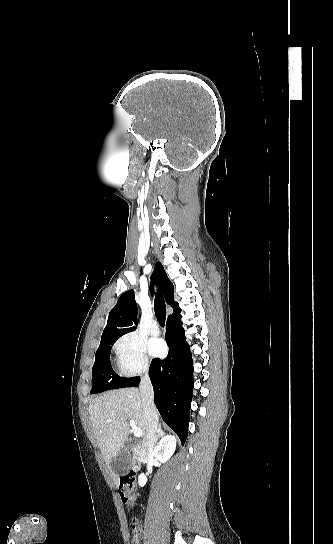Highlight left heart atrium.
<instances>
[{"label": "left heart atrium", "mask_w": 333, "mask_h": 544, "mask_svg": "<svg viewBox=\"0 0 333 544\" xmlns=\"http://www.w3.org/2000/svg\"><path fill=\"white\" fill-rule=\"evenodd\" d=\"M148 349L152 356H162L166 351V346L163 340L159 338L151 339L148 343Z\"/></svg>", "instance_id": "left-heart-atrium-1"}]
</instances>
